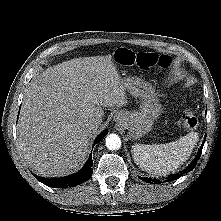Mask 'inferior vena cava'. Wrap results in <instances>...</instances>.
<instances>
[{
	"label": "inferior vena cava",
	"instance_id": "obj_1",
	"mask_svg": "<svg viewBox=\"0 0 221 221\" xmlns=\"http://www.w3.org/2000/svg\"><path fill=\"white\" fill-rule=\"evenodd\" d=\"M101 122H102V119L98 118V117L89 120V122H88V129L90 131L96 130L98 128V126L101 124Z\"/></svg>",
	"mask_w": 221,
	"mask_h": 221
}]
</instances>
